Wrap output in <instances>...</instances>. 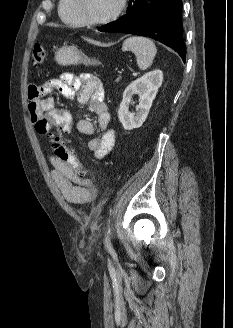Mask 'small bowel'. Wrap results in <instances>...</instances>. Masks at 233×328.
I'll return each instance as SVG.
<instances>
[{"label": "small bowel", "mask_w": 233, "mask_h": 328, "mask_svg": "<svg viewBox=\"0 0 233 328\" xmlns=\"http://www.w3.org/2000/svg\"><path fill=\"white\" fill-rule=\"evenodd\" d=\"M55 89L62 95L74 99L79 107H86L97 115L100 135L95 134L93 123L87 119L80 120L77 128L81 134L90 137L88 147L94 156L98 159L105 157L115 145L116 132L110 126L111 115L104 102L101 81L91 74L76 77L70 73H63L59 78L29 85V113L34 121L54 109L53 101L44 98V95ZM49 160L53 165L52 178L66 200L86 203L95 198L97 189L90 179L77 175L54 155H51Z\"/></svg>", "instance_id": "c3829d8e"}]
</instances>
